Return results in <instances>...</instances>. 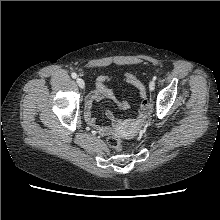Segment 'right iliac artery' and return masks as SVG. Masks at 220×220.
<instances>
[{
  "mask_svg": "<svg viewBox=\"0 0 220 220\" xmlns=\"http://www.w3.org/2000/svg\"><path fill=\"white\" fill-rule=\"evenodd\" d=\"M71 76H72V78H76L77 77V74L75 73V72H73L72 74H71Z\"/></svg>",
  "mask_w": 220,
  "mask_h": 220,
  "instance_id": "82829eb1",
  "label": "right iliac artery"
}]
</instances>
